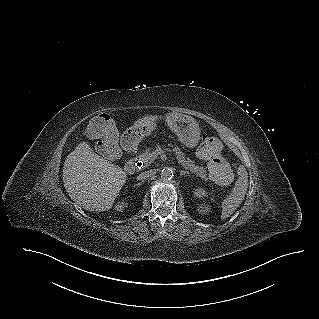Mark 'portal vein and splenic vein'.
Wrapping results in <instances>:
<instances>
[{
  "mask_svg": "<svg viewBox=\"0 0 319 319\" xmlns=\"http://www.w3.org/2000/svg\"><path fill=\"white\" fill-rule=\"evenodd\" d=\"M163 153H164L163 151L157 150V151L154 152V157L156 158L158 155H161Z\"/></svg>",
  "mask_w": 319,
  "mask_h": 319,
  "instance_id": "1",
  "label": "portal vein and splenic vein"
}]
</instances>
